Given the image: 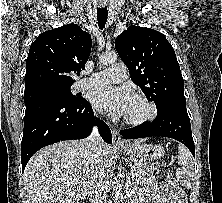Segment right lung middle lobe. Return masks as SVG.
<instances>
[{
	"instance_id": "1",
	"label": "right lung middle lobe",
	"mask_w": 222,
	"mask_h": 203,
	"mask_svg": "<svg viewBox=\"0 0 222 203\" xmlns=\"http://www.w3.org/2000/svg\"><path fill=\"white\" fill-rule=\"evenodd\" d=\"M71 86L52 87L24 93L25 105L42 100H60L67 103H76L83 100L78 95H73Z\"/></svg>"
}]
</instances>
